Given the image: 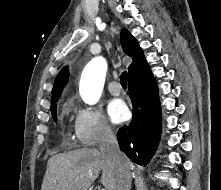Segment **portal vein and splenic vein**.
<instances>
[{
    "instance_id": "obj_1",
    "label": "portal vein and splenic vein",
    "mask_w": 221,
    "mask_h": 190,
    "mask_svg": "<svg viewBox=\"0 0 221 190\" xmlns=\"http://www.w3.org/2000/svg\"><path fill=\"white\" fill-rule=\"evenodd\" d=\"M89 175H91L92 173L89 171V173H88ZM101 190H106V189H101Z\"/></svg>"
}]
</instances>
